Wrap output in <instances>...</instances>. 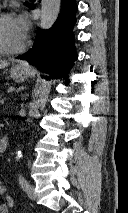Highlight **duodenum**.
Returning <instances> with one entry per match:
<instances>
[{
  "instance_id": "410a0bca",
  "label": "duodenum",
  "mask_w": 128,
  "mask_h": 213,
  "mask_svg": "<svg viewBox=\"0 0 128 213\" xmlns=\"http://www.w3.org/2000/svg\"><path fill=\"white\" fill-rule=\"evenodd\" d=\"M9 145V138L8 136H3L0 138V153H4Z\"/></svg>"
}]
</instances>
